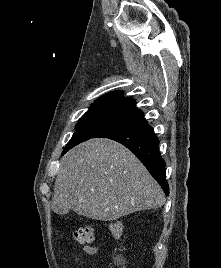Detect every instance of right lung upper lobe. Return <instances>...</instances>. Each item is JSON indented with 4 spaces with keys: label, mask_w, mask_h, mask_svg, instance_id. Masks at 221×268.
Listing matches in <instances>:
<instances>
[{
    "label": "right lung upper lobe",
    "mask_w": 221,
    "mask_h": 268,
    "mask_svg": "<svg viewBox=\"0 0 221 268\" xmlns=\"http://www.w3.org/2000/svg\"><path fill=\"white\" fill-rule=\"evenodd\" d=\"M133 99L124 98L123 92H110L98 98L89 111H103L123 117L126 122L143 117V113L136 109Z\"/></svg>",
    "instance_id": "cb5924a9"
}]
</instances>
